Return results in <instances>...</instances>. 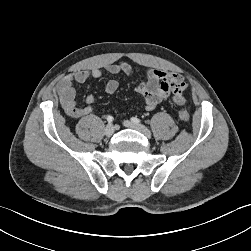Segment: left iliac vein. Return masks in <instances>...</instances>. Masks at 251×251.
I'll use <instances>...</instances> for the list:
<instances>
[{
	"instance_id": "1",
	"label": "left iliac vein",
	"mask_w": 251,
	"mask_h": 251,
	"mask_svg": "<svg viewBox=\"0 0 251 251\" xmlns=\"http://www.w3.org/2000/svg\"><path fill=\"white\" fill-rule=\"evenodd\" d=\"M124 126L130 129H135L139 132H141L142 134H144L147 138H151V132L143 125L141 124H135L131 121L125 120L123 122Z\"/></svg>"
}]
</instances>
